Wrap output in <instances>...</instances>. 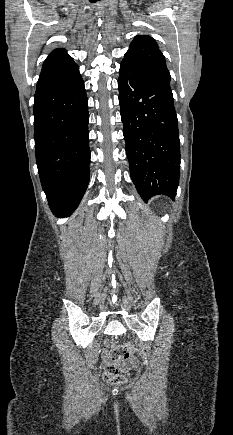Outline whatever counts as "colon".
<instances>
[{
  "label": "colon",
  "mask_w": 233,
  "mask_h": 435,
  "mask_svg": "<svg viewBox=\"0 0 233 435\" xmlns=\"http://www.w3.org/2000/svg\"><path fill=\"white\" fill-rule=\"evenodd\" d=\"M133 351L134 349L131 343H121L115 345L110 350L109 361L103 369V379L107 383L123 384L128 381V376L121 373L115 364L131 358Z\"/></svg>",
  "instance_id": "obj_1"
}]
</instances>
